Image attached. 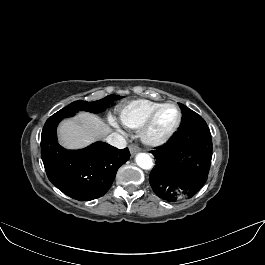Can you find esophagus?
Wrapping results in <instances>:
<instances>
[{"label":"esophagus","instance_id":"obj_1","mask_svg":"<svg viewBox=\"0 0 265 265\" xmlns=\"http://www.w3.org/2000/svg\"><path fill=\"white\" fill-rule=\"evenodd\" d=\"M129 149H130V153L132 156L135 155L140 150L139 147L137 145H134V144H131L129 146Z\"/></svg>","mask_w":265,"mask_h":265}]
</instances>
